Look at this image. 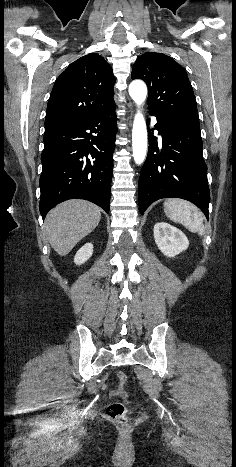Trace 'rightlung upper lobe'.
<instances>
[{
  "label": "right lung upper lobe",
  "mask_w": 236,
  "mask_h": 467,
  "mask_svg": "<svg viewBox=\"0 0 236 467\" xmlns=\"http://www.w3.org/2000/svg\"><path fill=\"white\" fill-rule=\"evenodd\" d=\"M115 77L98 54L85 55L57 78L47 105L45 134L84 122L115 105Z\"/></svg>",
  "instance_id": "right-lung-upper-lobe-1"
}]
</instances>
